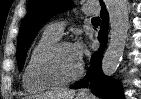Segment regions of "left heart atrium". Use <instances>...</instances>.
Wrapping results in <instances>:
<instances>
[{
  "label": "left heart atrium",
  "mask_w": 141,
  "mask_h": 99,
  "mask_svg": "<svg viewBox=\"0 0 141 99\" xmlns=\"http://www.w3.org/2000/svg\"><path fill=\"white\" fill-rule=\"evenodd\" d=\"M71 49L76 60L79 62V64H81L87 52L85 43L82 40H78L73 45H71Z\"/></svg>",
  "instance_id": "1"
}]
</instances>
